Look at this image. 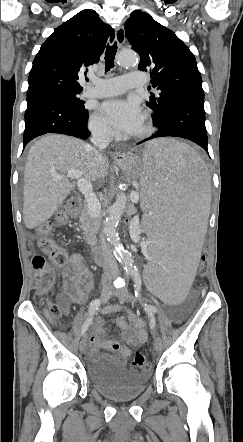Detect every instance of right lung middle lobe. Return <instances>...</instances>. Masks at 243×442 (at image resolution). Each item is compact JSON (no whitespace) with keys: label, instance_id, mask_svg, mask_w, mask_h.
I'll list each match as a JSON object with an SVG mask.
<instances>
[{"label":"right lung middle lobe","instance_id":"right-lung-middle-lobe-1","mask_svg":"<svg viewBox=\"0 0 243 442\" xmlns=\"http://www.w3.org/2000/svg\"><path fill=\"white\" fill-rule=\"evenodd\" d=\"M56 92H59L61 94H63L64 96H66L68 99H70L73 104L75 105L77 111L84 116L88 115V111L85 109L84 107V101H81L78 98V95L82 92V91H64V90H53Z\"/></svg>","mask_w":243,"mask_h":442}]
</instances>
